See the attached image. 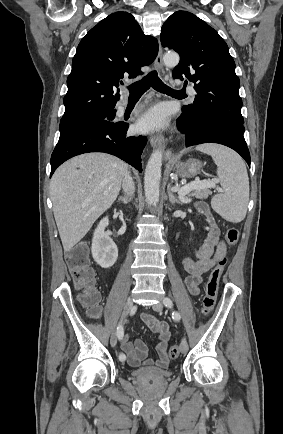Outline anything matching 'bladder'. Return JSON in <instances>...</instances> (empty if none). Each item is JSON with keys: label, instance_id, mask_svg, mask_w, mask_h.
Masks as SVG:
<instances>
[{"label": "bladder", "instance_id": "obj_1", "mask_svg": "<svg viewBox=\"0 0 283 434\" xmlns=\"http://www.w3.org/2000/svg\"><path fill=\"white\" fill-rule=\"evenodd\" d=\"M131 374L137 379L143 380H166L172 376V372L168 369H159L155 367L136 368L131 371Z\"/></svg>", "mask_w": 283, "mask_h": 434}]
</instances>
